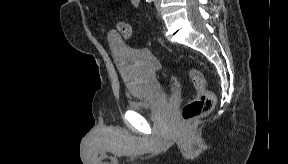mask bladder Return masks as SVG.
Returning a JSON list of instances; mask_svg holds the SVG:
<instances>
[{
    "mask_svg": "<svg viewBox=\"0 0 288 164\" xmlns=\"http://www.w3.org/2000/svg\"><path fill=\"white\" fill-rule=\"evenodd\" d=\"M109 44L127 83L129 109L150 113L166 105L168 95L154 76L158 67L155 57L146 51L130 47L117 36H111Z\"/></svg>",
    "mask_w": 288,
    "mask_h": 164,
    "instance_id": "obj_1",
    "label": "bladder"
}]
</instances>
